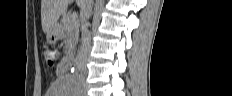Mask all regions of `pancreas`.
Instances as JSON below:
<instances>
[{"mask_svg":"<svg viewBox=\"0 0 232 96\" xmlns=\"http://www.w3.org/2000/svg\"><path fill=\"white\" fill-rule=\"evenodd\" d=\"M61 37L65 43V53H69L78 41L79 36V21L71 18L70 14L63 15L60 24Z\"/></svg>","mask_w":232,"mask_h":96,"instance_id":"pancreas-1","label":"pancreas"}]
</instances>
